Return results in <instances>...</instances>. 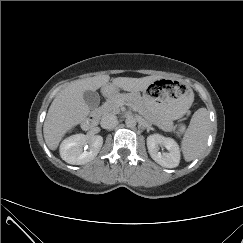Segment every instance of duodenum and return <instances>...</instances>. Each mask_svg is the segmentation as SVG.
Listing matches in <instances>:
<instances>
[{
  "instance_id": "410a0bca",
  "label": "duodenum",
  "mask_w": 243,
  "mask_h": 243,
  "mask_svg": "<svg viewBox=\"0 0 243 243\" xmlns=\"http://www.w3.org/2000/svg\"><path fill=\"white\" fill-rule=\"evenodd\" d=\"M104 93L106 96H110L113 93V90L108 87L105 89ZM97 123H98V115H97V113H92L83 122V127L86 130H91L97 126Z\"/></svg>"
}]
</instances>
